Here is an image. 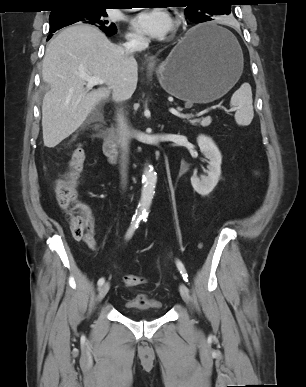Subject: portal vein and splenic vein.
I'll return each instance as SVG.
<instances>
[{
  "instance_id": "1",
  "label": "portal vein and splenic vein",
  "mask_w": 306,
  "mask_h": 387,
  "mask_svg": "<svg viewBox=\"0 0 306 387\" xmlns=\"http://www.w3.org/2000/svg\"><path fill=\"white\" fill-rule=\"evenodd\" d=\"M86 81H87V85H86L87 89H90L95 85H102L104 83V80L101 79L100 77H87ZM169 111L173 115L180 117V118H189L190 117L189 115H184V114L179 113L176 109H173V108H171Z\"/></svg>"
}]
</instances>
